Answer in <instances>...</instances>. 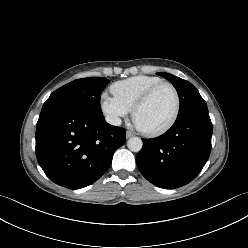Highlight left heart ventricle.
<instances>
[{
  "instance_id": "left-heart-ventricle-1",
  "label": "left heart ventricle",
  "mask_w": 248,
  "mask_h": 248,
  "mask_svg": "<svg viewBox=\"0 0 248 248\" xmlns=\"http://www.w3.org/2000/svg\"><path fill=\"white\" fill-rule=\"evenodd\" d=\"M174 109V94L169 87L163 86L139 109L136 123L146 129L160 127L171 118Z\"/></svg>"
}]
</instances>
